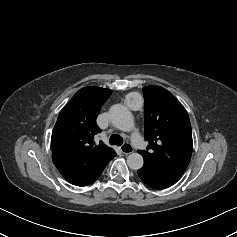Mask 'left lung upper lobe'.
<instances>
[{
    "mask_svg": "<svg viewBox=\"0 0 237 237\" xmlns=\"http://www.w3.org/2000/svg\"><path fill=\"white\" fill-rule=\"evenodd\" d=\"M145 139L148 151H138L145 163L182 176L192 154L191 124L183 105L166 89L146 86Z\"/></svg>",
    "mask_w": 237,
    "mask_h": 237,
    "instance_id": "1",
    "label": "left lung upper lobe"
}]
</instances>
